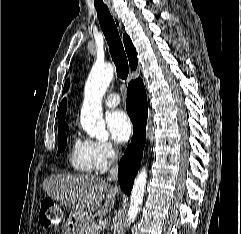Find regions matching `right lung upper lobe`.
Masks as SVG:
<instances>
[{
	"label": "right lung upper lobe",
	"mask_w": 241,
	"mask_h": 234,
	"mask_svg": "<svg viewBox=\"0 0 241 234\" xmlns=\"http://www.w3.org/2000/svg\"><path fill=\"white\" fill-rule=\"evenodd\" d=\"M123 40H124L125 50H126V53H127L128 59H129L130 66L133 69H136L137 63H138L136 49L134 48L128 35L125 34ZM65 113H66V99H64L61 102L59 109H58L57 116H58V122L60 124L58 131L68 127L64 120Z\"/></svg>",
	"instance_id": "obj_1"
}]
</instances>
